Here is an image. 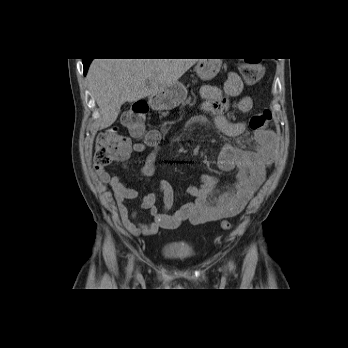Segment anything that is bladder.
<instances>
[{
	"mask_svg": "<svg viewBox=\"0 0 348 348\" xmlns=\"http://www.w3.org/2000/svg\"><path fill=\"white\" fill-rule=\"evenodd\" d=\"M193 247L185 242H168L161 248V254L171 259H184L192 254Z\"/></svg>",
	"mask_w": 348,
	"mask_h": 348,
	"instance_id": "31cf9c89",
	"label": "bladder"
}]
</instances>
